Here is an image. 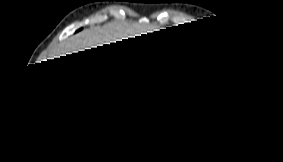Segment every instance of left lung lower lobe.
I'll return each mask as SVG.
<instances>
[{"label": "left lung lower lobe", "mask_w": 283, "mask_h": 162, "mask_svg": "<svg viewBox=\"0 0 283 162\" xmlns=\"http://www.w3.org/2000/svg\"><path fill=\"white\" fill-rule=\"evenodd\" d=\"M178 29L175 30L178 35L172 37V39L178 38L179 42L189 44L207 40V42L200 44L198 50H196L201 57L222 53V48L216 44L214 37L196 36L191 34L192 31L187 35L181 30V27H178ZM169 40V44L175 45ZM163 46L164 43H159L158 47L163 48ZM168 62L169 58L156 60L150 63V70L164 69ZM238 73L235 63L229 61L226 73L223 74L218 71L213 74L217 87L211 96L205 97L200 104L193 107L180 106L171 101L169 97L170 85L161 81H152L151 85L143 87V93L152 100L157 119L162 125L183 130L185 133L204 136L219 129L227 120L232 104L238 95Z\"/></svg>", "instance_id": "left-lung-lower-lobe-1"}]
</instances>
